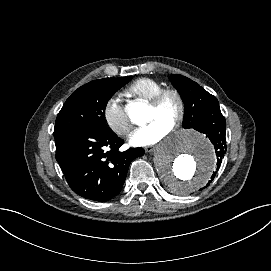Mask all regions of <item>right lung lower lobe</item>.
Listing matches in <instances>:
<instances>
[{
	"instance_id": "98d812e1",
	"label": "right lung lower lobe",
	"mask_w": 271,
	"mask_h": 271,
	"mask_svg": "<svg viewBox=\"0 0 271 271\" xmlns=\"http://www.w3.org/2000/svg\"><path fill=\"white\" fill-rule=\"evenodd\" d=\"M55 144L56 160L70 188L98 202L120 193L131 161L144 154L142 148L119 152L123 140L110 131L73 130L55 137Z\"/></svg>"
}]
</instances>
